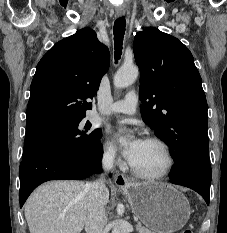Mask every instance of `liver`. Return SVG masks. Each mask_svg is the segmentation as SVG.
Masks as SVG:
<instances>
[{
	"mask_svg": "<svg viewBox=\"0 0 227 233\" xmlns=\"http://www.w3.org/2000/svg\"><path fill=\"white\" fill-rule=\"evenodd\" d=\"M86 186L82 181H51L37 188L24 206L30 233H80L87 219ZM108 201L105 187L103 206Z\"/></svg>",
	"mask_w": 227,
	"mask_h": 233,
	"instance_id": "1",
	"label": "liver"
}]
</instances>
